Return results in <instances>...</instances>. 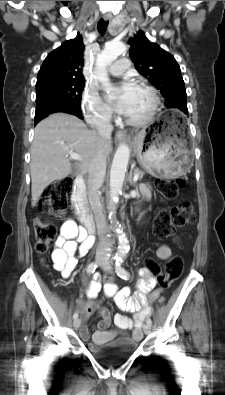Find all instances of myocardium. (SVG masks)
I'll return each instance as SVG.
<instances>
[{"label":"myocardium","mask_w":225,"mask_h":395,"mask_svg":"<svg viewBox=\"0 0 225 395\" xmlns=\"http://www.w3.org/2000/svg\"><path fill=\"white\" fill-rule=\"evenodd\" d=\"M138 88H142L149 93V95L152 99V104H151V107H150L148 113L143 118H141V119L127 118L126 119V122L132 126H143V125H146L147 123H149L154 118V116L158 110V107L160 105V98H159L158 93L154 87H152L151 85H148L146 83H140V84H138Z\"/></svg>","instance_id":"f54148a6"}]
</instances>
